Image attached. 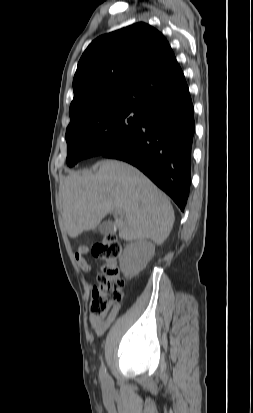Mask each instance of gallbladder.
Wrapping results in <instances>:
<instances>
[{"label":"gallbladder","mask_w":253,"mask_h":413,"mask_svg":"<svg viewBox=\"0 0 253 413\" xmlns=\"http://www.w3.org/2000/svg\"><path fill=\"white\" fill-rule=\"evenodd\" d=\"M115 225L113 222L107 220L99 225V232L103 235L114 232Z\"/></svg>","instance_id":"gallbladder-1"}]
</instances>
